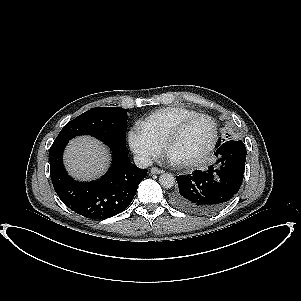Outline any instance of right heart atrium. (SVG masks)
<instances>
[{
  "mask_svg": "<svg viewBox=\"0 0 301 301\" xmlns=\"http://www.w3.org/2000/svg\"><path fill=\"white\" fill-rule=\"evenodd\" d=\"M128 142L137 158L145 164L157 159L162 152L161 144L148 136L141 128L134 127L129 131Z\"/></svg>",
  "mask_w": 301,
  "mask_h": 301,
  "instance_id": "1",
  "label": "right heart atrium"
}]
</instances>
